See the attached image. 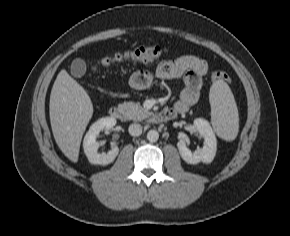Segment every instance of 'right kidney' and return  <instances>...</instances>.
Wrapping results in <instances>:
<instances>
[{"label": "right kidney", "mask_w": 290, "mask_h": 236, "mask_svg": "<svg viewBox=\"0 0 290 236\" xmlns=\"http://www.w3.org/2000/svg\"><path fill=\"white\" fill-rule=\"evenodd\" d=\"M116 124V119L113 117H104L93 123L86 133L83 141L84 153L91 164L108 165L112 163L119 153L117 146L113 147L108 153H98L99 143L96 137L101 130L109 131Z\"/></svg>", "instance_id": "1"}]
</instances>
